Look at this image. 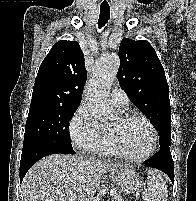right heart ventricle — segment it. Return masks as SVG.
Here are the masks:
<instances>
[{"label": "right heart ventricle", "instance_id": "obj_1", "mask_svg": "<svg viewBox=\"0 0 196 201\" xmlns=\"http://www.w3.org/2000/svg\"><path fill=\"white\" fill-rule=\"evenodd\" d=\"M116 152L114 150L113 144L111 142L110 137H108L107 144L105 147L99 152L100 155L102 156H111L114 155Z\"/></svg>", "mask_w": 196, "mask_h": 201}]
</instances>
